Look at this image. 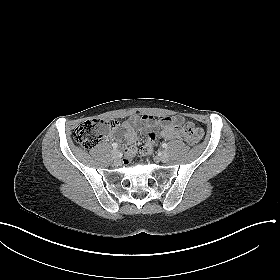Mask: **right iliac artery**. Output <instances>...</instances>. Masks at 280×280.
Segmentation results:
<instances>
[{"label":"right iliac artery","mask_w":280,"mask_h":280,"mask_svg":"<svg viewBox=\"0 0 280 280\" xmlns=\"http://www.w3.org/2000/svg\"><path fill=\"white\" fill-rule=\"evenodd\" d=\"M112 147H113V148H117V147H118V144H117V143H113V144H112Z\"/></svg>","instance_id":"82829eb1"}]
</instances>
